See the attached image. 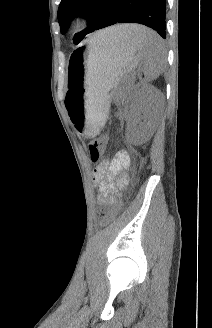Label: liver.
<instances>
[{
    "mask_svg": "<svg viewBox=\"0 0 212 328\" xmlns=\"http://www.w3.org/2000/svg\"><path fill=\"white\" fill-rule=\"evenodd\" d=\"M135 25H117L105 30L99 31L92 37V39H99L102 41L111 39H122V40H135ZM91 39V40H92Z\"/></svg>",
    "mask_w": 212,
    "mask_h": 328,
    "instance_id": "obj_1",
    "label": "liver"
}]
</instances>
